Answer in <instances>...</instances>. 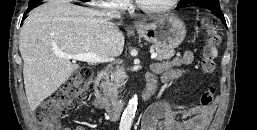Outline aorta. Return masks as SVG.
I'll return each instance as SVG.
<instances>
[{
	"label": "aorta",
	"instance_id": "1",
	"mask_svg": "<svg viewBox=\"0 0 257 130\" xmlns=\"http://www.w3.org/2000/svg\"><path fill=\"white\" fill-rule=\"evenodd\" d=\"M138 98L137 95H134L128 102L126 109L123 112L121 122H120V130H130L133 119L135 117V113L137 110Z\"/></svg>",
	"mask_w": 257,
	"mask_h": 130
}]
</instances>
